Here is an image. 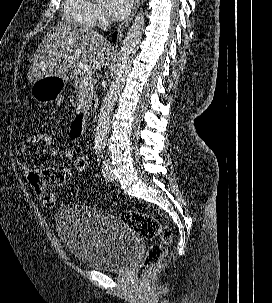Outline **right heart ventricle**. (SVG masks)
Here are the masks:
<instances>
[{"label": "right heart ventricle", "mask_w": 272, "mask_h": 303, "mask_svg": "<svg viewBox=\"0 0 272 303\" xmlns=\"http://www.w3.org/2000/svg\"><path fill=\"white\" fill-rule=\"evenodd\" d=\"M62 15L68 24L90 26L92 25V3L90 0H64Z\"/></svg>", "instance_id": "right-heart-ventricle-1"}]
</instances>
